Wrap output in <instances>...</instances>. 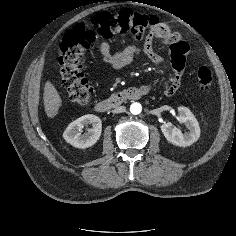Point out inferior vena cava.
<instances>
[{"instance_id":"602c4592","label":"inferior vena cava","mask_w":236,"mask_h":236,"mask_svg":"<svg viewBox=\"0 0 236 236\" xmlns=\"http://www.w3.org/2000/svg\"><path fill=\"white\" fill-rule=\"evenodd\" d=\"M126 111V107L125 106H118V107H116V108H114L113 110H112V112L114 113V114H116V113H123V112H125Z\"/></svg>"}]
</instances>
